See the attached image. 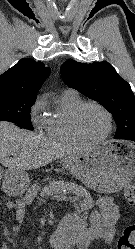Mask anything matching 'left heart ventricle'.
I'll return each instance as SVG.
<instances>
[{"mask_svg": "<svg viewBox=\"0 0 135 249\" xmlns=\"http://www.w3.org/2000/svg\"><path fill=\"white\" fill-rule=\"evenodd\" d=\"M79 127L86 137L97 139L106 133L108 121L101 110L96 107H87L79 118Z\"/></svg>", "mask_w": 135, "mask_h": 249, "instance_id": "left-heart-ventricle-1", "label": "left heart ventricle"}]
</instances>
